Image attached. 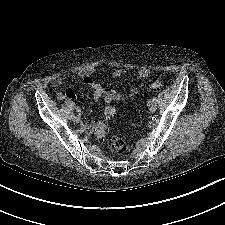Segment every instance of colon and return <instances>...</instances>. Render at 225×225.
<instances>
[{
  "instance_id": "5ec220e1",
  "label": "colon",
  "mask_w": 225,
  "mask_h": 225,
  "mask_svg": "<svg viewBox=\"0 0 225 225\" xmlns=\"http://www.w3.org/2000/svg\"><path fill=\"white\" fill-rule=\"evenodd\" d=\"M162 89V84L159 82L152 83L149 87L151 92H158ZM116 114V109L113 106H107L104 110V118L100 120L93 128V135L102 141L109 153L113 156L122 155L126 146L124 141L117 136L110 135L107 119Z\"/></svg>"
}]
</instances>
